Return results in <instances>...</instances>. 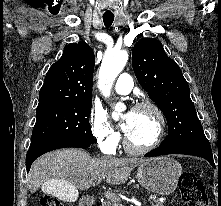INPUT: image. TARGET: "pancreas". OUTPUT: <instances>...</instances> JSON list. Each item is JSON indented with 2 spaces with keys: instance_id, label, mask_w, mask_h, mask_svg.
Instances as JSON below:
<instances>
[{
  "instance_id": "obj_1",
  "label": "pancreas",
  "mask_w": 221,
  "mask_h": 206,
  "mask_svg": "<svg viewBox=\"0 0 221 206\" xmlns=\"http://www.w3.org/2000/svg\"><path fill=\"white\" fill-rule=\"evenodd\" d=\"M119 198L117 196H115V199H108L107 201H105L103 203L102 206H121L119 203ZM151 206H164V203L158 201V200H154V203L151 204Z\"/></svg>"
}]
</instances>
